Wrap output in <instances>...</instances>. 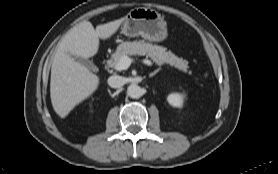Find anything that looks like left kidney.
I'll return each mask as SVG.
<instances>
[{
    "mask_svg": "<svg viewBox=\"0 0 278 174\" xmlns=\"http://www.w3.org/2000/svg\"><path fill=\"white\" fill-rule=\"evenodd\" d=\"M167 101L173 107H182L183 105V95L179 93H171L167 97Z\"/></svg>",
    "mask_w": 278,
    "mask_h": 174,
    "instance_id": "5707ae66",
    "label": "left kidney"
}]
</instances>
